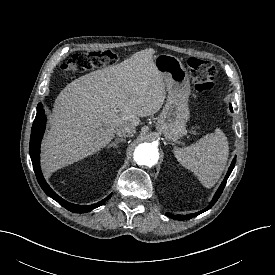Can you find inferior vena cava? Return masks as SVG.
Returning a JSON list of instances; mask_svg holds the SVG:
<instances>
[{
  "instance_id": "obj_1",
  "label": "inferior vena cava",
  "mask_w": 275,
  "mask_h": 275,
  "mask_svg": "<svg viewBox=\"0 0 275 275\" xmlns=\"http://www.w3.org/2000/svg\"><path fill=\"white\" fill-rule=\"evenodd\" d=\"M135 127L128 123H122L116 126L115 133L119 137H132L135 134Z\"/></svg>"
}]
</instances>
